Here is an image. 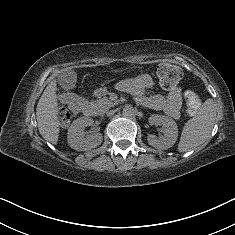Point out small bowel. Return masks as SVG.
Listing matches in <instances>:
<instances>
[{
  "instance_id": "1",
  "label": "small bowel",
  "mask_w": 235,
  "mask_h": 235,
  "mask_svg": "<svg viewBox=\"0 0 235 235\" xmlns=\"http://www.w3.org/2000/svg\"><path fill=\"white\" fill-rule=\"evenodd\" d=\"M134 84L141 89L149 86L151 81L146 75H142L136 79ZM182 96V89L180 87H173L165 101L157 95H138L137 100L146 107L157 110L163 109L170 117L177 118L182 103Z\"/></svg>"
}]
</instances>
